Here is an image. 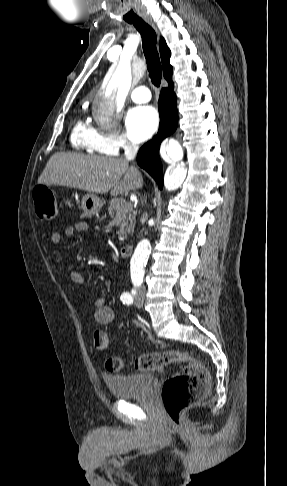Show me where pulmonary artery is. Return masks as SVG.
<instances>
[{
    "instance_id": "e3ab8cb5",
    "label": "pulmonary artery",
    "mask_w": 287,
    "mask_h": 486,
    "mask_svg": "<svg viewBox=\"0 0 287 486\" xmlns=\"http://www.w3.org/2000/svg\"><path fill=\"white\" fill-rule=\"evenodd\" d=\"M130 97L136 103H145L150 100L151 94L147 87L138 86L130 91Z\"/></svg>"
}]
</instances>
